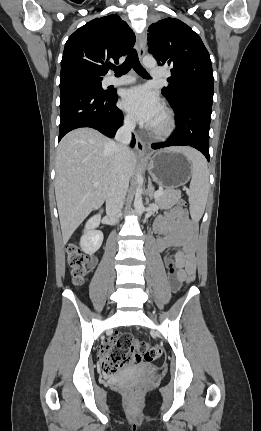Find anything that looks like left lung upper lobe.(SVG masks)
Here are the masks:
<instances>
[{"mask_svg": "<svg viewBox=\"0 0 261 431\" xmlns=\"http://www.w3.org/2000/svg\"><path fill=\"white\" fill-rule=\"evenodd\" d=\"M148 44L160 66L171 68L162 94L172 107L192 98L213 100V70L201 38L188 25L166 18L150 25Z\"/></svg>", "mask_w": 261, "mask_h": 431, "instance_id": "left-lung-upper-lobe-1", "label": "left lung upper lobe"}]
</instances>
